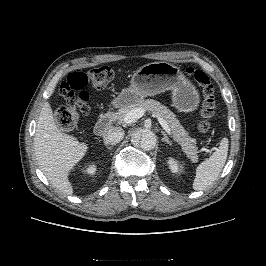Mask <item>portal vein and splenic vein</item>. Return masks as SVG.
I'll use <instances>...</instances> for the list:
<instances>
[{"mask_svg": "<svg viewBox=\"0 0 266 266\" xmlns=\"http://www.w3.org/2000/svg\"><path fill=\"white\" fill-rule=\"evenodd\" d=\"M144 115V110L142 108H135L128 112L124 118V123H134ZM160 125L163 129L171 135V129L169 128L167 122L163 118H158Z\"/></svg>", "mask_w": 266, "mask_h": 266, "instance_id": "1", "label": "portal vein and splenic vein"}]
</instances>
